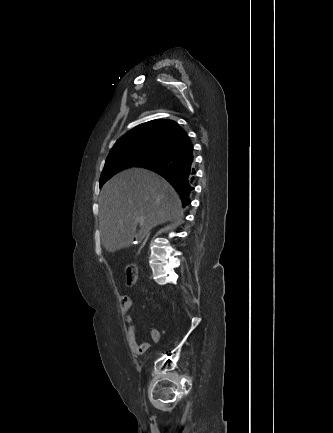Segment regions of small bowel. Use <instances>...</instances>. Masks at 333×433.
I'll list each match as a JSON object with an SVG mask.
<instances>
[{
	"label": "small bowel",
	"mask_w": 333,
	"mask_h": 433,
	"mask_svg": "<svg viewBox=\"0 0 333 433\" xmlns=\"http://www.w3.org/2000/svg\"><path fill=\"white\" fill-rule=\"evenodd\" d=\"M133 305V300L129 295H122L120 298V310L124 321L128 325V341L132 352L136 355H143L150 348V343L147 341H140L137 337L136 327L130 310ZM152 341L157 343L161 339V333L158 329H151Z\"/></svg>",
	"instance_id": "obj_1"
}]
</instances>
